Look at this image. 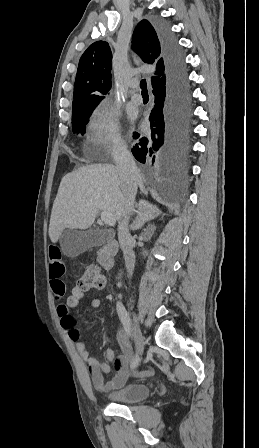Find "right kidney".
I'll return each instance as SVG.
<instances>
[{"label": "right kidney", "instance_id": "ca27d5eb", "mask_svg": "<svg viewBox=\"0 0 259 448\" xmlns=\"http://www.w3.org/2000/svg\"><path fill=\"white\" fill-rule=\"evenodd\" d=\"M118 288H120L121 284H117Z\"/></svg>", "mask_w": 259, "mask_h": 448}]
</instances>
